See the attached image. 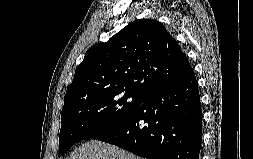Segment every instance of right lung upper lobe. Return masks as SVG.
Returning <instances> with one entry per match:
<instances>
[{
    "mask_svg": "<svg viewBox=\"0 0 253 159\" xmlns=\"http://www.w3.org/2000/svg\"><path fill=\"white\" fill-rule=\"evenodd\" d=\"M192 71L186 55L164 25L140 19L86 52L66 91L64 104L108 91L146 95Z\"/></svg>",
    "mask_w": 253,
    "mask_h": 159,
    "instance_id": "obj_1",
    "label": "right lung upper lobe"
}]
</instances>
